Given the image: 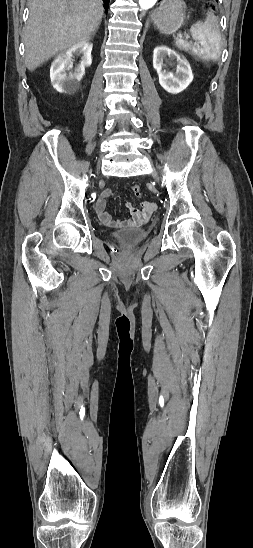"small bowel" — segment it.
Masks as SVG:
<instances>
[{
  "instance_id": "c3829d8e",
  "label": "small bowel",
  "mask_w": 253,
  "mask_h": 548,
  "mask_svg": "<svg viewBox=\"0 0 253 548\" xmlns=\"http://www.w3.org/2000/svg\"><path fill=\"white\" fill-rule=\"evenodd\" d=\"M112 196L113 192L107 189L100 194L95 204L98 218L104 225L109 227L120 228L124 226L135 227L142 225L148 221L156 209V204L151 201H143L140 203L139 207L133 205L132 203H127L126 206L131 214V218L126 220L113 219L111 214L106 209L107 200Z\"/></svg>"
}]
</instances>
